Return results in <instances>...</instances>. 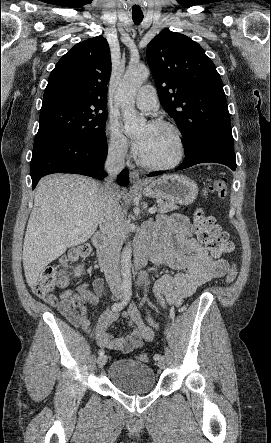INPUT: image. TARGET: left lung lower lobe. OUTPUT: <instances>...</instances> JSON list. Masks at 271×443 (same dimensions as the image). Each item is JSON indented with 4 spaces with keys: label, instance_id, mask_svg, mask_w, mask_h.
<instances>
[{
    "label": "left lung lower lobe",
    "instance_id": "obj_1",
    "mask_svg": "<svg viewBox=\"0 0 271 443\" xmlns=\"http://www.w3.org/2000/svg\"><path fill=\"white\" fill-rule=\"evenodd\" d=\"M183 163L176 170L185 169L205 162H215L236 169L232 133L208 132L194 141L193 149L185 151ZM164 172H153L148 176H157Z\"/></svg>",
    "mask_w": 271,
    "mask_h": 443
}]
</instances>
